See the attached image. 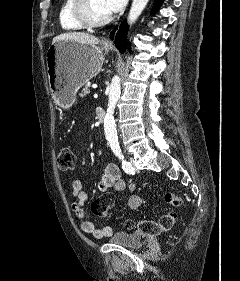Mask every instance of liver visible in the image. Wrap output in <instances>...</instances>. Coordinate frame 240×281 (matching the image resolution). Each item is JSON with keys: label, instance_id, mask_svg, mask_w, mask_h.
<instances>
[{"label": "liver", "instance_id": "obj_1", "mask_svg": "<svg viewBox=\"0 0 240 281\" xmlns=\"http://www.w3.org/2000/svg\"><path fill=\"white\" fill-rule=\"evenodd\" d=\"M61 40H72V41H77L80 43H85L89 45H97L99 44L100 40L88 33L84 32H68V33H63L60 34L56 37L53 38L52 44L56 43L57 41Z\"/></svg>", "mask_w": 240, "mask_h": 281}]
</instances>
